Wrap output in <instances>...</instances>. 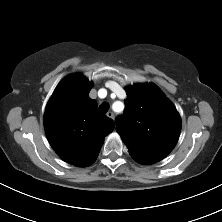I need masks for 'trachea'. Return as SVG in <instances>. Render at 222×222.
<instances>
[{
    "label": "trachea",
    "mask_w": 222,
    "mask_h": 222,
    "mask_svg": "<svg viewBox=\"0 0 222 222\" xmlns=\"http://www.w3.org/2000/svg\"><path fill=\"white\" fill-rule=\"evenodd\" d=\"M109 110V104L108 103H102L100 106H99V112L102 113V114H105L107 111Z\"/></svg>",
    "instance_id": "1"
}]
</instances>
